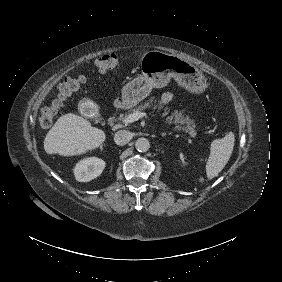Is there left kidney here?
I'll return each instance as SVG.
<instances>
[{"instance_id":"5707ae66","label":"left kidney","mask_w":282,"mask_h":282,"mask_svg":"<svg viewBox=\"0 0 282 282\" xmlns=\"http://www.w3.org/2000/svg\"><path fill=\"white\" fill-rule=\"evenodd\" d=\"M182 165H183V166H186L187 163H186L185 161H182Z\"/></svg>"}]
</instances>
